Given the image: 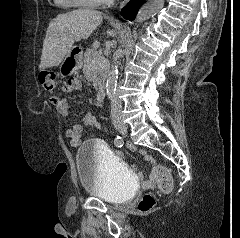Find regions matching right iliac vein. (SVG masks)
Wrapping results in <instances>:
<instances>
[{
	"label": "right iliac vein",
	"instance_id": "1",
	"mask_svg": "<svg viewBox=\"0 0 240 238\" xmlns=\"http://www.w3.org/2000/svg\"><path fill=\"white\" fill-rule=\"evenodd\" d=\"M117 129L119 130V132L125 133L126 130H127V127H126V125H124V124H119V125L117 126Z\"/></svg>",
	"mask_w": 240,
	"mask_h": 238
}]
</instances>
